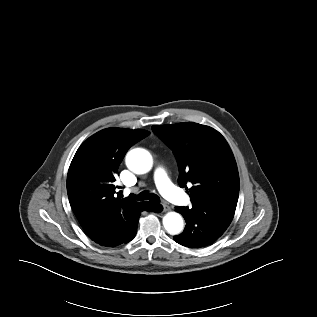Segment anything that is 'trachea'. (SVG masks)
I'll return each instance as SVG.
<instances>
[{
    "label": "trachea",
    "mask_w": 317,
    "mask_h": 317,
    "mask_svg": "<svg viewBox=\"0 0 317 317\" xmlns=\"http://www.w3.org/2000/svg\"><path fill=\"white\" fill-rule=\"evenodd\" d=\"M136 200L143 201L149 199L152 202H159V197L154 193H149L148 191H142L137 196H135Z\"/></svg>",
    "instance_id": "1"
}]
</instances>
